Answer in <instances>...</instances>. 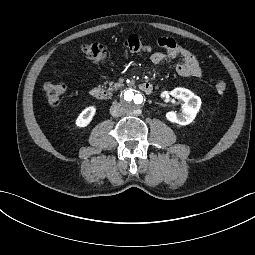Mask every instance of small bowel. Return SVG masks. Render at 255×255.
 <instances>
[{
    "mask_svg": "<svg viewBox=\"0 0 255 255\" xmlns=\"http://www.w3.org/2000/svg\"><path fill=\"white\" fill-rule=\"evenodd\" d=\"M158 44L166 52H155L150 60L153 64H161L169 60L176 61V72L182 77H201L202 70L195 55L178 45L171 38H160Z\"/></svg>",
    "mask_w": 255,
    "mask_h": 255,
    "instance_id": "obj_1",
    "label": "small bowel"
}]
</instances>
